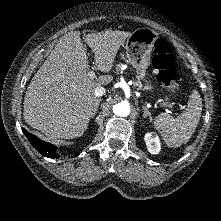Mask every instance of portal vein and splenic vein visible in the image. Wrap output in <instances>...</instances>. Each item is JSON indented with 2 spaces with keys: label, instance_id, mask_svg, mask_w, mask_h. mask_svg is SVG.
<instances>
[{
  "label": "portal vein and splenic vein",
  "instance_id": "18ae733b",
  "mask_svg": "<svg viewBox=\"0 0 221 221\" xmlns=\"http://www.w3.org/2000/svg\"><path fill=\"white\" fill-rule=\"evenodd\" d=\"M88 77H89L91 80H93V79L96 77L95 72H94V71H89V72H88ZM169 106L172 107V105H169Z\"/></svg>",
  "mask_w": 221,
  "mask_h": 221
}]
</instances>
